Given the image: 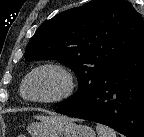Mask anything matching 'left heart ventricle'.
<instances>
[{
  "label": "left heart ventricle",
  "mask_w": 144,
  "mask_h": 137,
  "mask_svg": "<svg viewBox=\"0 0 144 137\" xmlns=\"http://www.w3.org/2000/svg\"><path fill=\"white\" fill-rule=\"evenodd\" d=\"M63 88L62 77L53 71H43L34 75L26 86L29 97H52Z\"/></svg>",
  "instance_id": "obj_1"
}]
</instances>
